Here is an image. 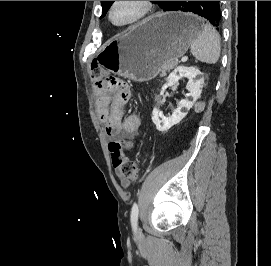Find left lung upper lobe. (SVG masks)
<instances>
[{
    "label": "left lung upper lobe",
    "mask_w": 271,
    "mask_h": 266,
    "mask_svg": "<svg viewBox=\"0 0 271 266\" xmlns=\"http://www.w3.org/2000/svg\"><path fill=\"white\" fill-rule=\"evenodd\" d=\"M114 1H101L102 5V15L100 18L104 17L110 8V6L113 4ZM156 2L162 9L170 2V1H153Z\"/></svg>",
    "instance_id": "1"
}]
</instances>
